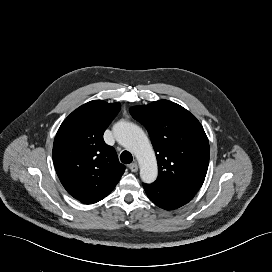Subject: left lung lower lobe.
Segmentation results:
<instances>
[{
    "label": "left lung lower lobe",
    "instance_id": "obj_1",
    "mask_svg": "<svg viewBox=\"0 0 272 272\" xmlns=\"http://www.w3.org/2000/svg\"><path fill=\"white\" fill-rule=\"evenodd\" d=\"M149 199L157 206L166 210H173L188 203L195 193L185 188L169 184H143Z\"/></svg>",
    "mask_w": 272,
    "mask_h": 272
}]
</instances>
